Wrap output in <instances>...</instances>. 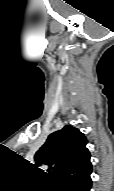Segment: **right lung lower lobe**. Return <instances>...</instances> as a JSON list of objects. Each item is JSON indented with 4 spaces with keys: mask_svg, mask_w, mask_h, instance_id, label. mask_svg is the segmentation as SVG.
Wrapping results in <instances>:
<instances>
[{
    "mask_svg": "<svg viewBox=\"0 0 114 191\" xmlns=\"http://www.w3.org/2000/svg\"><path fill=\"white\" fill-rule=\"evenodd\" d=\"M92 169L66 178L59 184L60 191H90Z\"/></svg>",
    "mask_w": 114,
    "mask_h": 191,
    "instance_id": "98d812e1",
    "label": "right lung lower lobe"
}]
</instances>
